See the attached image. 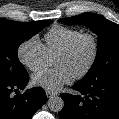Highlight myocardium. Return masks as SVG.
Returning <instances> with one entry per match:
<instances>
[{"label":"myocardium","instance_id":"myocardium-1","mask_svg":"<svg viewBox=\"0 0 119 119\" xmlns=\"http://www.w3.org/2000/svg\"><path fill=\"white\" fill-rule=\"evenodd\" d=\"M84 39L88 40L91 44V56L86 66L80 72L74 75L75 79H81L85 77L93 68L99 52V44L97 38L91 33H80L77 36H75L62 50H60L57 53V55H70L75 50L79 42Z\"/></svg>","mask_w":119,"mask_h":119}]
</instances>
